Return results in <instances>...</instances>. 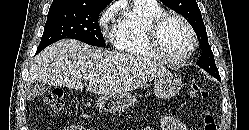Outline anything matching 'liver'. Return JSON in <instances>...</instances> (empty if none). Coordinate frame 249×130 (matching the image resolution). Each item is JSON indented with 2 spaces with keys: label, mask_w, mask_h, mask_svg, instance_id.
<instances>
[{
  "label": "liver",
  "mask_w": 249,
  "mask_h": 130,
  "mask_svg": "<svg viewBox=\"0 0 249 130\" xmlns=\"http://www.w3.org/2000/svg\"><path fill=\"white\" fill-rule=\"evenodd\" d=\"M170 74L149 58L110 52L74 39L60 40L40 52L29 69L27 86L35 82L112 95L127 93Z\"/></svg>",
  "instance_id": "obj_1"
}]
</instances>
